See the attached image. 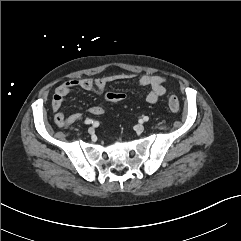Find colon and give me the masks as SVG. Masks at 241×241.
Masks as SVG:
<instances>
[{"mask_svg":"<svg viewBox=\"0 0 241 241\" xmlns=\"http://www.w3.org/2000/svg\"><path fill=\"white\" fill-rule=\"evenodd\" d=\"M103 98L106 101H110V102H112V101H122L125 98V95L122 92H113V93L106 92L103 95ZM168 107H169L170 111H172V112H178L179 111L180 103H179V100L176 96H170L168 98Z\"/></svg>","mask_w":241,"mask_h":241,"instance_id":"colon-1","label":"colon"}]
</instances>
